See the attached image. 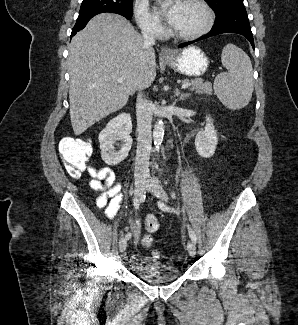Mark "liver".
I'll list each match as a JSON object with an SVG mask.
<instances>
[{"mask_svg":"<svg viewBox=\"0 0 298 325\" xmlns=\"http://www.w3.org/2000/svg\"><path fill=\"white\" fill-rule=\"evenodd\" d=\"M70 118L74 134L120 110L135 90L149 88L156 54L121 14H96L69 44ZM123 76V82L117 78Z\"/></svg>","mask_w":298,"mask_h":325,"instance_id":"1","label":"liver"}]
</instances>
